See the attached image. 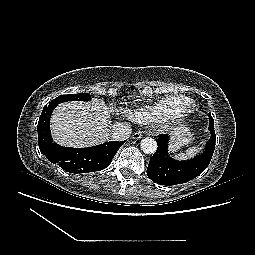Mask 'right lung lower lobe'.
Masks as SVG:
<instances>
[{
	"label": "right lung lower lobe",
	"instance_id": "1",
	"mask_svg": "<svg viewBox=\"0 0 255 255\" xmlns=\"http://www.w3.org/2000/svg\"><path fill=\"white\" fill-rule=\"evenodd\" d=\"M50 117L39 119V148L47 159L69 173H88L108 167L125 141H110L89 148H68L54 143L49 128Z\"/></svg>",
	"mask_w": 255,
	"mask_h": 255
}]
</instances>
